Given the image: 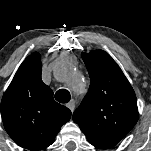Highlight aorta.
Masks as SVG:
<instances>
[{
    "label": "aorta",
    "mask_w": 151,
    "mask_h": 151,
    "mask_svg": "<svg viewBox=\"0 0 151 151\" xmlns=\"http://www.w3.org/2000/svg\"><path fill=\"white\" fill-rule=\"evenodd\" d=\"M71 71H72V68L68 63H62L56 69V72L68 73V72H71Z\"/></svg>",
    "instance_id": "762f6f07"
}]
</instances>
